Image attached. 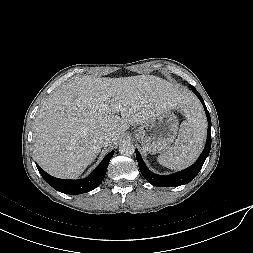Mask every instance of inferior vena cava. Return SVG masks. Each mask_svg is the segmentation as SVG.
I'll return each instance as SVG.
<instances>
[{
	"instance_id": "obj_1",
	"label": "inferior vena cava",
	"mask_w": 253,
	"mask_h": 253,
	"mask_svg": "<svg viewBox=\"0 0 253 253\" xmlns=\"http://www.w3.org/2000/svg\"><path fill=\"white\" fill-rule=\"evenodd\" d=\"M112 138L113 136L111 133L105 132L100 135L99 140L103 146H107L112 141Z\"/></svg>"
}]
</instances>
